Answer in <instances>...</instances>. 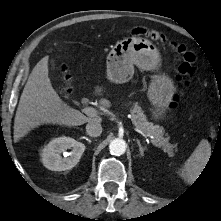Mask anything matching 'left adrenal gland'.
Segmentation results:
<instances>
[{
  "mask_svg": "<svg viewBox=\"0 0 221 221\" xmlns=\"http://www.w3.org/2000/svg\"><path fill=\"white\" fill-rule=\"evenodd\" d=\"M136 141H137V144L139 146L140 155L143 157L144 156V151L146 150V147H143L138 139Z\"/></svg>",
  "mask_w": 221,
  "mask_h": 221,
  "instance_id": "obj_1",
  "label": "left adrenal gland"
}]
</instances>
